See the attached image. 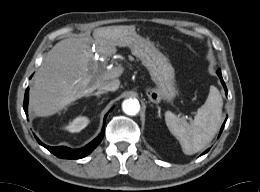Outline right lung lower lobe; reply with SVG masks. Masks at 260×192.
Returning <instances> with one entry per match:
<instances>
[{"label": "right lung lower lobe", "instance_id": "1", "mask_svg": "<svg viewBox=\"0 0 260 192\" xmlns=\"http://www.w3.org/2000/svg\"><path fill=\"white\" fill-rule=\"evenodd\" d=\"M28 91L29 90L27 88L26 92H25L24 104H23V108H24L26 115H27V105H28ZM106 116H107V114L105 115L104 119H106ZM103 137H104V126H103V130L101 131L99 136L97 138H95L92 142L87 144L85 147H83L81 149H70V148L64 147V146H59V147L47 146V145L43 144L35 136V138H36V140L38 141L39 144L44 146L51 153H53L55 156H57L59 158H63V159H80V158L85 157L86 155L90 154L97 147V145L102 141Z\"/></svg>", "mask_w": 260, "mask_h": 192}]
</instances>
